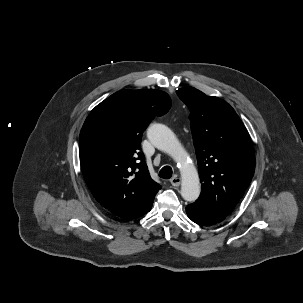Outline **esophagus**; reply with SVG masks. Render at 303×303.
Returning <instances> with one entry per match:
<instances>
[{
    "label": "esophagus",
    "mask_w": 303,
    "mask_h": 303,
    "mask_svg": "<svg viewBox=\"0 0 303 303\" xmlns=\"http://www.w3.org/2000/svg\"><path fill=\"white\" fill-rule=\"evenodd\" d=\"M170 183L172 186L178 187L181 184V179L177 176H174L170 179Z\"/></svg>",
    "instance_id": "1"
}]
</instances>
